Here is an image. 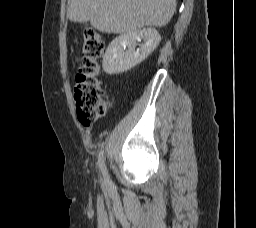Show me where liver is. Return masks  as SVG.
Here are the masks:
<instances>
[{"label": "liver", "instance_id": "obj_1", "mask_svg": "<svg viewBox=\"0 0 256 228\" xmlns=\"http://www.w3.org/2000/svg\"><path fill=\"white\" fill-rule=\"evenodd\" d=\"M176 0H70V21L90 24L103 33H127L144 26L163 27L171 20Z\"/></svg>", "mask_w": 256, "mask_h": 228}]
</instances>
